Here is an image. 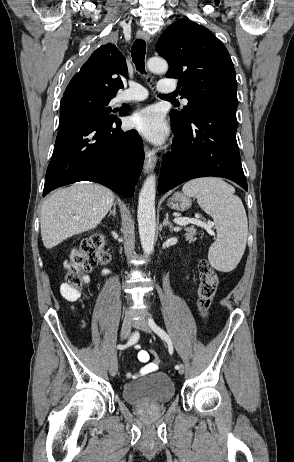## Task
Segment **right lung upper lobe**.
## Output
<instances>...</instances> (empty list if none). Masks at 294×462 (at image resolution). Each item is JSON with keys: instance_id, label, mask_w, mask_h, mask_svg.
<instances>
[{"instance_id": "obj_1", "label": "right lung upper lobe", "mask_w": 294, "mask_h": 462, "mask_svg": "<svg viewBox=\"0 0 294 462\" xmlns=\"http://www.w3.org/2000/svg\"><path fill=\"white\" fill-rule=\"evenodd\" d=\"M127 76L125 57L114 44L100 46L68 84L64 97L76 93L115 96Z\"/></svg>"}]
</instances>
